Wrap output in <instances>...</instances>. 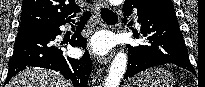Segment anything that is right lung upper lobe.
Returning a JSON list of instances; mask_svg holds the SVG:
<instances>
[{
  "mask_svg": "<svg viewBox=\"0 0 205 87\" xmlns=\"http://www.w3.org/2000/svg\"><path fill=\"white\" fill-rule=\"evenodd\" d=\"M79 10L74 0H23L19 32L64 23Z\"/></svg>",
  "mask_w": 205,
  "mask_h": 87,
  "instance_id": "right-lung-upper-lobe-1",
  "label": "right lung upper lobe"
}]
</instances>
